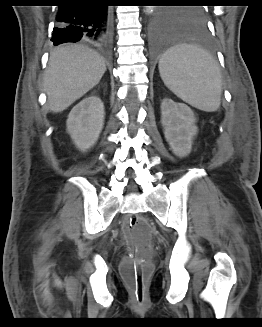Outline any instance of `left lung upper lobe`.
Listing matches in <instances>:
<instances>
[{"label": "left lung upper lobe", "mask_w": 262, "mask_h": 327, "mask_svg": "<svg viewBox=\"0 0 262 327\" xmlns=\"http://www.w3.org/2000/svg\"><path fill=\"white\" fill-rule=\"evenodd\" d=\"M169 18L182 25L199 26L205 23L204 11L201 7L166 10Z\"/></svg>", "instance_id": "obj_1"}]
</instances>
